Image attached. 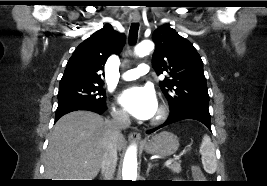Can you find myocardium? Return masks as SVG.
Wrapping results in <instances>:
<instances>
[{
    "instance_id": "1",
    "label": "myocardium",
    "mask_w": 267,
    "mask_h": 186,
    "mask_svg": "<svg viewBox=\"0 0 267 186\" xmlns=\"http://www.w3.org/2000/svg\"><path fill=\"white\" fill-rule=\"evenodd\" d=\"M168 116V108L166 105L164 104H160L158 106L157 112L155 114V116H153V118L150 121L151 125H158L160 123H162Z\"/></svg>"
}]
</instances>
